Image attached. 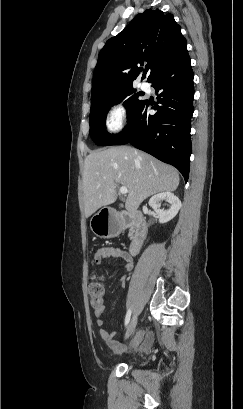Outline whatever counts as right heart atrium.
I'll return each instance as SVG.
<instances>
[{
    "instance_id": "right-heart-atrium-1",
    "label": "right heart atrium",
    "mask_w": 243,
    "mask_h": 409,
    "mask_svg": "<svg viewBox=\"0 0 243 409\" xmlns=\"http://www.w3.org/2000/svg\"><path fill=\"white\" fill-rule=\"evenodd\" d=\"M106 127L111 133L119 132L127 123V107L123 101L112 102L106 113Z\"/></svg>"
}]
</instances>
